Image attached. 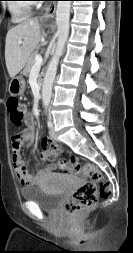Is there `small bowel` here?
<instances>
[{
  "label": "small bowel",
  "instance_id": "c3829d8e",
  "mask_svg": "<svg viewBox=\"0 0 133 253\" xmlns=\"http://www.w3.org/2000/svg\"><path fill=\"white\" fill-rule=\"evenodd\" d=\"M35 136L36 133L33 119L31 116H28L26 119V127L20 133L12 137V157L14 170L19 183L23 186H31L39 183L42 176L46 172L54 169V166L50 165L39 169L35 174H30L28 172L27 165L23 160L20 150L23 146H30L35 140ZM41 158L44 161L48 160L47 151L45 149L41 154Z\"/></svg>",
  "mask_w": 133,
  "mask_h": 253
}]
</instances>
